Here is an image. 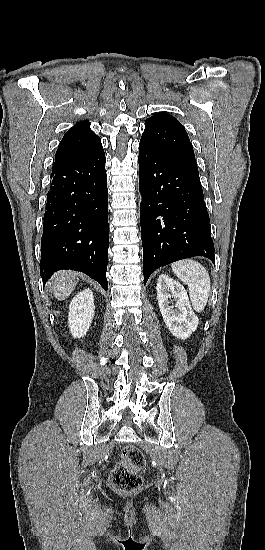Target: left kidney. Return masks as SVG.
<instances>
[{
    "instance_id": "5707ae66",
    "label": "left kidney",
    "mask_w": 265,
    "mask_h": 550,
    "mask_svg": "<svg viewBox=\"0 0 265 550\" xmlns=\"http://www.w3.org/2000/svg\"><path fill=\"white\" fill-rule=\"evenodd\" d=\"M157 300L160 312L169 331L185 340L198 327V317L193 312L184 287L167 275H160L157 281ZM175 301V304H172Z\"/></svg>"
}]
</instances>
